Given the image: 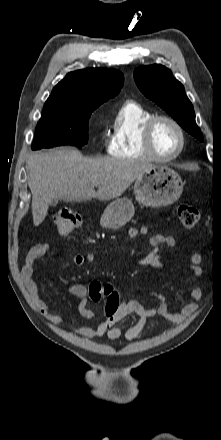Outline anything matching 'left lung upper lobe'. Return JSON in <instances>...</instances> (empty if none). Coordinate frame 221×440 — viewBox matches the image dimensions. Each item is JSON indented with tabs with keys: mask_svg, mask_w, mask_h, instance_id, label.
<instances>
[{
	"mask_svg": "<svg viewBox=\"0 0 221 440\" xmlns=\"http://www.w3.org/2000/svg\"><path fill=\"white\" fill-rule=\"evenodd\" d=\"M134 79L147 98L164 109L189 134L203 141L185 89L169 69L162 65L141 66L134 71Z\"/></svg>",
	"mask_w": 221,
	"mask_h": 440,
	"instance_id": "5c2ea615",
	"label": "left lung upper lobe"
}]
</instances>
